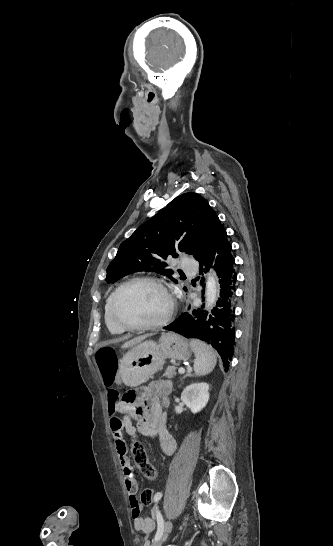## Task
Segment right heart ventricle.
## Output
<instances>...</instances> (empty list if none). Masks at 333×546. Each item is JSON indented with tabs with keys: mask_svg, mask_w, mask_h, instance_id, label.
I'll return each instance as SVG.
<instances>
[{
	"mask_svg": "<svg viewBox=\"0 0 333 546\" xmlns=\"http://www.w3.org/2000/svg\"><path fill=\"white\" fill-rule=\"evenodd\" d=\"M112 293H110L108 295V297L106 298V301H105V305H104V320H105V324L109 330V332L113 335H121L123 334L125 331L122 330L121 328H119L115 323L114 321L112 320V317H111V313H110V303H111V298H112Z\"/></svg>",
	"mask_w": 333,
	"mask_h": 546,
	"instance_id": "right-heart-ventricle-1",
	"label": "right heart ventricle"
}]
</instances>
